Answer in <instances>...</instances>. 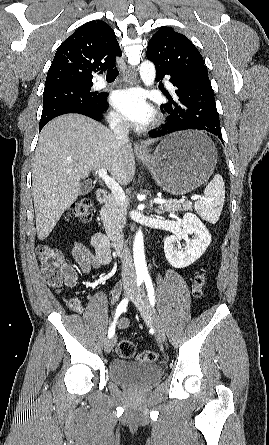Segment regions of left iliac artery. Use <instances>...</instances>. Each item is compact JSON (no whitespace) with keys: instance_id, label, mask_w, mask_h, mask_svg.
Returning <instances> with one entry per match:
<instances>
[{"instance_id":"1","label":"left iliac artery","mask_w":269,"mask_h":445,"mask_svg":"<svg viewBox=\"0 0 269 445\" xmlns=\"http://www.w3.org/2000/svg\"><path fill=\"white\" fill-rule=\"evenodd\" d=\"M143 279H144V282H145V285H146V289H147V293H148V297H149L150 303H151V305L153 307L155 305V295H154V287H153V284H152V280H151L149 275H146Z\"/></svg>"}]
</instances>
